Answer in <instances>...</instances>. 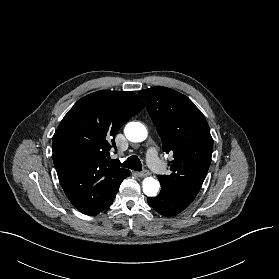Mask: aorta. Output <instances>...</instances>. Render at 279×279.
Here are the masks:
<instances>
[{"instance_id":"aorta-1","label":"aorta","mask_w":279,"mask_h":279,"mask_svg":"<svg viewBox=\"0 0 279 279\" xmlns=\"http://www.w3.org/2000/svg\"><path fill=\"white\" fill-rule=\"evenodd\" d=\"M124 133L126 138L132 142H142L147 138V129L140 122H130L125 126ZM143 192L150 197L157 194L160 184L152 178L146 177L142 182Z\"/></svg>"}]
</instances>
